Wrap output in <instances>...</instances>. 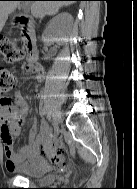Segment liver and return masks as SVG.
<instances>
[{"label": "liver", "instance_id": "obj_1", "mask_svg": "<svg viewBox=\"0 0 137 189\" xmlns=\"http://www.w3.org/2000/svg\"><path fill=\"white\" fill-rule=\"evenodd\" d=\"M31 3V12L34 16L44 17L53 15L63 6H68L72 1H33ZM18 1H0V32L2 31L8 15L18 6ZM28 4V3H26Z\"/></svg>", "mask_w": 137, "mask_h": 189}]
</instances>
